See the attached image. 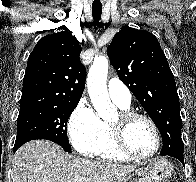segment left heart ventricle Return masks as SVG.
<instances>
[{
    "label": "left heart ventricle",
    "mask_w": 196,
    "mask_h": 182,
    "mask_svg": "<svg viewBox=\"0 0 196 182\" xmlns=\"http://www.w3.org/2000/svg\"><path fill=\"white\" fill-rule=\"evenodd\" d=\"M118 121L116 116L111 123ZM125 140L129 148L140 155L151 153L156 145L155 134L151 126L142 119L131 122L125 130Z\"/></svg>",
    "instance_id": "obj_1"
}]
</instances>
